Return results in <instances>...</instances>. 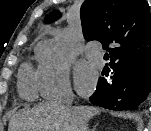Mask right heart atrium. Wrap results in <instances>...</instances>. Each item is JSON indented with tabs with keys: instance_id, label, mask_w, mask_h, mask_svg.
I'll return each instance as SVG.
<instances>
[{
	"instance_id": "d8ad5b80",
	"label": "right heart atrium",
	"mask_w": 151,
	"mask_h": 131,
	"mask_svg": "<svg viewBox=\"0 0 151 131\" xmlns=\"http://www.w3.org/2000/svg\"><path fill=\"white\" fill-rule=\"evenodd\" d=\"M40 93L47 99H60L72 95L70 64L61 51L51 49L44 53L36 70Z\"/></svg>"
}]
</instances>
